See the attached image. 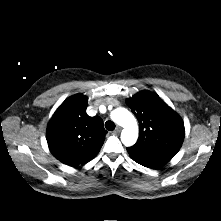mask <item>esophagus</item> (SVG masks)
Masks as SVG:
<instances>
[{
    "label": "esophagus",
    "mask_w": 221,
    "mask_h": 221,
    "mask_svg": "<svg viewBox=\"0 0 221 221\" xmlns=\"http://www.w3.org/2000/svg\"><path fill=\"white\" fill-rule=\"evenodd\" d=\"M122 128L120 126H117L116 129L114 130V133L118 134L120 133Z\"/></svg>",
    "instance_id": "esophagus-1"
}]
</instances>
